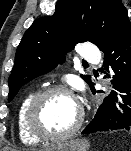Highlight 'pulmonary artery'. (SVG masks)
Wrapping results in <instances>:
<instances>
[{"label": "pulmonary artery", "instance_id": "1", "mask_svg": "<svg viewBox=\"0 0 131 151\" xmlns=\"http://www.w3.org/2000/svg\"><path fill=\"white\" fill-rule=\"evenodd\" d=\"M80 56L83 60L90 63H97L100 58L97 48L90 43H84L82 45Z\"/></svg>", "mask_w": 131, "mask_h": 151}]
</instances>
